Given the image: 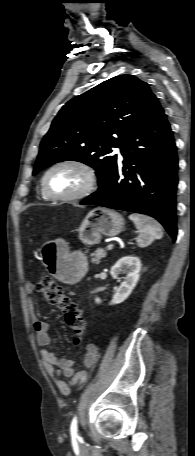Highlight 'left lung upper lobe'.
Here are the masks:
<instances>
[{"mask_svg": "<svg viewBox=\"0 0 195 456\" xmlns=\"http://www.w3.org/2000/svg\"><path fill=\"white\" fill-rule=\"evenodd\" d=\"M154 99L148 84L132 75L113 77L73 98L44 136L33 175L73 160L93 167L100 186L117 162V156L110 155L113 148H121Z\"/></svg>", "mask_w": 195, "mask_h": 456, "instance_id": "left-lung-upper-lobe-1", "label": "left lung upper lobe"}]
</instances>
